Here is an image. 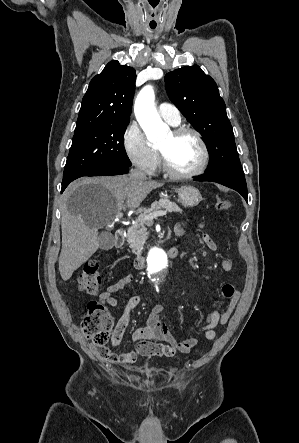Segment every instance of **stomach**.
Returning <instances> with one entry per match:
<instances>
[{"label":"stomach","instance_id":"1","mask_svg":"<svg viewBox=\"0 0 299 443\" xmlns=\"http://www.w3.org/2000/svg\"><path fill=\"white\" fill-rule=\"evenodd\" d=\"M177 192L179 201L185 207L197 206L202 200L201 193L193 186H183Z\"/></svg>","mask_w":299,"mask_h":443}]
</instances>
